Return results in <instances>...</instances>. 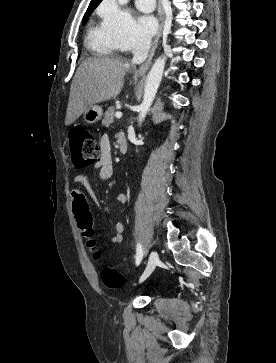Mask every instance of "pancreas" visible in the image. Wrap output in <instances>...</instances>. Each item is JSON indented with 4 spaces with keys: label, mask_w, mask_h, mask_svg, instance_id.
I'll return each mask as SVG.
<instances>
[{
    "label": "pancreas",
    "mask_w": 276,
    "mask_h": 363,
    "mask_svg": "<svg viewBox=\"0 0 276 363\" xmlns=\"http://www.w3.org/2000/svg\"><path fill=\"white\" fill-rule=\"evenodd\" d=\"M114 112L115 108L110 107L104 114V118L102 120V125L108 127L111 123L114 122Z\"/></svg>",
    "instance_id": "obj_1"
}]
</instances>
